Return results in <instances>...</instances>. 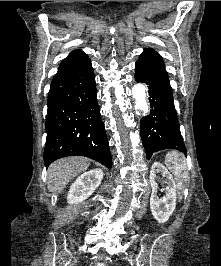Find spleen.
Returning a JSON list of instances; mask_svg holds the SVG:
<instances>
[{
    "label": "spleen",
    "mask_w": 221,
    "mask_h": 266,
    "mask_svg": "<svg viewBox=\"0 0 221 266\" xmlns=\"http://www.w3.org/2000/svg\"><path fill=\"white\" fill-rule=\"evenodd\" d=\"M165 165L175 175L178 188L183 191L189 178L185 157L176 151L169 152L165 157Z\"/></svg>",
    "instance_id": "3e777b00"
}]
</instances>
